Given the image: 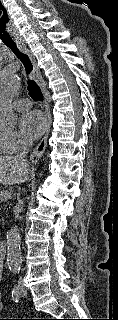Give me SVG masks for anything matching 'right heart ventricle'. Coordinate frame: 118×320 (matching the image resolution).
<instances>
[{"label":"right heart ventricle","mask_w":118,"mask_h":320,"mask_svg":"<svg viewBox=\"0 0 118 320\" xmlns=\"http://www.w3.org/2000/svg\"><path fill=\"white\" fill-rule=\"evenodd\" d=\"M1 153H3V152H2L1 149H0V154H1Z\"/></svg>","instance_id":"obj_1"}]
</instances>
